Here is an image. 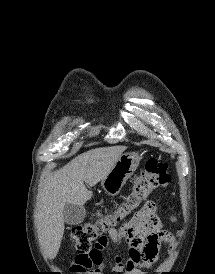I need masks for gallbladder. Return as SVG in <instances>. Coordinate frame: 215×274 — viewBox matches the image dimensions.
Here are the masks:
<instances>
[{"label":"gallbladder","instance_id":"1","mask_svg":"<svg viewBox=\"0 0 215 274\" xmlns=\"http://www.w3.org/2000/svg\"><path fill=\"white\" fill-rule=\"evenodd\" d=\"M86 210L83 206L66 204L63 209L64 222L69 225H77L83 222Z\"/></svg>","mask_w":215,"mask_h":274}]
</instances>
